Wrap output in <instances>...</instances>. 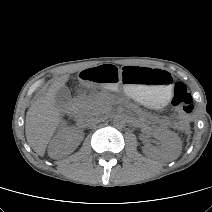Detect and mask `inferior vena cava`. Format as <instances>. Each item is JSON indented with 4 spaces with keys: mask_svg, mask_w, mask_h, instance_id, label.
Here are the masks:
<instances>
[{
    "mask_svg": "<svg viewBox=\"0 0 212 212\" xmlns=\"http://www.w3.org/2000/svg\"><path fill=\"white\" fill-rule=\"evenodd\" d=\"M102 120L103 117L95 113H88L87 116L84 118L86 125H95L100 123Z\"/></svg>",
    "mask_w": 212,
    "mask_h": 212,
    "instance_id": "inferior-vena-cava-1",
    "label": "inferior vena cava"
}]
</instances>
